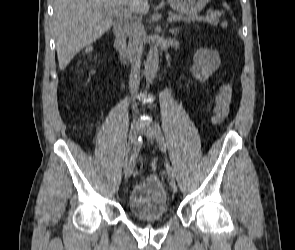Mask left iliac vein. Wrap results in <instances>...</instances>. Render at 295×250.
Returning a JSON list of instances; mask_svg holds the SVG:
<instances>
[{
	"instance_id": "left-iliac-vein-1",
	"label": "left iliac vein",
	"mask_w": 295,
	"mask_h": 250,
	"mask_svg": "<svg viewBox=\"0 0 295 250\" xmlns=\"http://www.w3.org/2000/svg\"><path fill=\"white\" fill-rule=\"evenodd\" d=\"M145 136L148 140L152 141L155 137V128L149 124L144 127ZM170 187L173 192H177V185L174 180L170 181Z\"/></svg>"
}]
</instances>
